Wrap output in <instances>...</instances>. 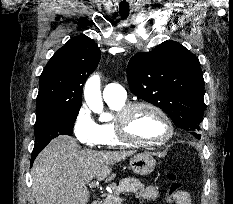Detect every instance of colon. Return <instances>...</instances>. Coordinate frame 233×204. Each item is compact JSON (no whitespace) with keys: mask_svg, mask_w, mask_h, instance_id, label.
Instances as JSON below:
<instances>
[{"mask_svg":"<svg viewBox=\"0 0 233 204\" xmlns=\"http://www.w3.org/2000/svg\"><path fill=\"white\" fill-rule=\"evenodd\" d=\"M167 177L170 181V187L167 193V200L174 201L177 196L184 190L182 188V184L178 181L177 176L174 172H168Z\"/></svg>","mask_w":233,"mask_h":204,"instance_id":"obj_1","label":"colon"}]
</instances>
